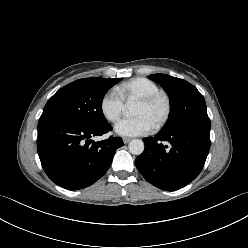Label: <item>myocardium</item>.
I'll return each mask as SVG.
<instances>
[{"label":"myocardium","mask_w":248,"mask_h":248,"mask_svg":"<svg viewBox=\"0 0 248 248\" xmlns=\"http://www.w3.org/2000/svg\"><path fill=\"white\" fill-rule=\"evenodd\" d=\"M158 102H163L164 106H165V110L164 113L162 115V117L160 118V120L154 125L155 129H160L162 128L168 121L170 114H171V102L169 97L162 93H155L146 97H143L139 100H137V103L143 104V105H147V106H151L154 105Z\"/></svg>","instance_id":"1"}]
</instances>
